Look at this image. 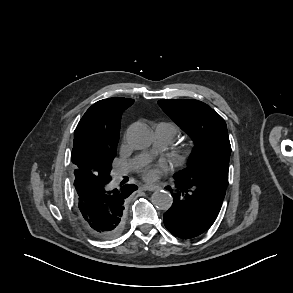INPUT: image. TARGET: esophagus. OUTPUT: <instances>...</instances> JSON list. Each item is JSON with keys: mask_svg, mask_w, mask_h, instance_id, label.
Returning a JSON list of instances; mask_svg holds the SVG:
<instances>
[{"mask_svg": "<svg viewBox=\"0 0 293 293\" xmlns=\"http://www.w3.org/2000/svg\"><path fill=\"white\" fill-rule=\"evenodd\" d=\"M159 187L158 186H152V185H142L140 186V190L143 191H155L158 190Z\"/></svg>", "mask_w": 293, "mask_h": 293, "instance_id": "obj_1", "label": "esophagus"}]
</instances>
